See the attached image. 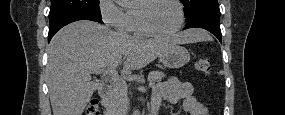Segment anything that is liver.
Listing matches in <instances>:
<instances>
[{
  "label": "liver",
  "instance_id": "obj_1",
  "mask_svg": "<svg viewBox=\"0 0 285 115\" xmlns=\"http://www.w3.org/2000/svg\"><path fill=\"white\" fill-rule=\"evenodd\" d=\"M205 32L191 29L171 38L140 39L108 27L81 20L62 28L47 47V79L53 115H82L98 84L91 74L116 68L122 73L140 69L175 44L207 39Z\"/></svg>",
  "mask_w": 285,
  "mask_h": 115
}]
</instances>
